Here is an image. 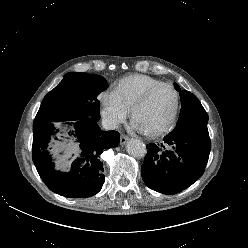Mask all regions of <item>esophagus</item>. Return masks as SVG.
<instances>
[{
	"label": "esophagus",
	"mask_w": 248,
	"mask_h": 248,
	"mask_svg": "<svg viewBox=\"0 0 248 248\" xmlns=\"http://www.w3.org/2000/svg\"><path fill=\"white\" fill-rule=\"evenodd\" d=\"M129 140V137L128 136H126V135H124V134H122L121 136H120V144L123 146V145H125L126 144V142Z\"/></svg>",
	"instance_id": "esophagus-1"
}]
</instances>
